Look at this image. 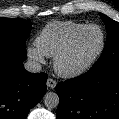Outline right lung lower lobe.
I'll use <instances>...</instances> for the list:
<instances>
[{"mask_svg": "<svg viewBox=\"0 0 119 119\" xmlns=\"http://www.w3.org/2000/svg\"><path fill=\"white\" fill-rule=\"evenodd\" d=\"M26 54L0 51V119H26L46 93L45 73H30Z\"/></svg>", "mask_w": 119, "mask_h": 119, "instance_id": "1", "label": "right lung lower lobe"}]
</instances>
